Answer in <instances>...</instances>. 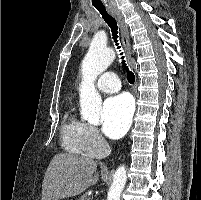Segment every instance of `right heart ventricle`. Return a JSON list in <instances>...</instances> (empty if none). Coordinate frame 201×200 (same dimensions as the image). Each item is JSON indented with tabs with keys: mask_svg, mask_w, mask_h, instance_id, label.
Here are the masks:
<instances>
[{
	"mask_svg": "<svg viewBox=\"0 0 201 200\" xmlns=\"http://www.w3.org/2000/svg\"><path fill=\"white\" fill-rule=\"evenodd\" d=\"M61 138L62 145L68 152L80 155L88 153L84 140V123L74 116L71 110L65 114Z\"/></svg>",
	"mask_w": 201,
	"mask_h": 200,
	"instance_id": "right-heart-ventricle-1",
	"label": "right heart ventricle"
}]
</instances>
